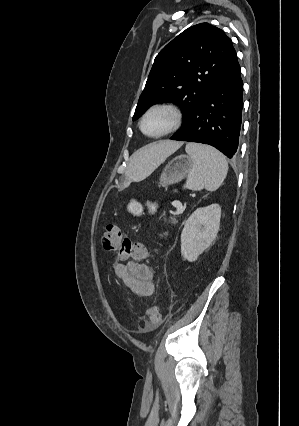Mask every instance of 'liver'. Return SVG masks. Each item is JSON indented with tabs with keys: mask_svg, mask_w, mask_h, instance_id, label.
Instances as JSON below:
<instances>
[{
	"mask_svg": "<svg viewBox=\"0 0 299 426\" xmlns=\"http://www.w3.org/2000/svg\"><path fill=\"white\" fill-rule=\"evenodd\" d=\"M178 141H158L136 151L129 163V174L133 178L151 174L168 156L182 146Z\"/></svg>",
	"mask_w": 299,
	"mask_h": 426,
	"instance_id": "liver-1",
	"label": "liver"
}]
</instances>
